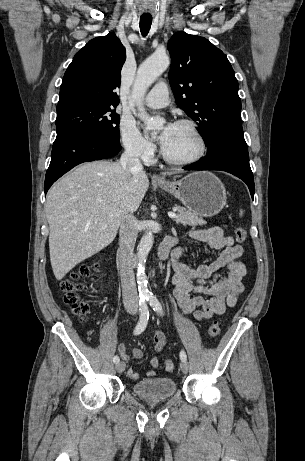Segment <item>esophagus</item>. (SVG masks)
<instances>
[{
    "label": "esophagus",
    "mask_w": 305,
    "mask_h": 461,
    "mask_svg": "<svg viewBox=\"0 0 305 461\" xmlns=\"http://www.w3.org/2000/svg\"><path fill=\"white\" fill-rule=\"evenodd\" d=\"M162 179H163V178L160 177V176H156V177H155V180H157V181H161Z\"/></svg>",
    "instance_id": "obj_1"
}]
</instances>
